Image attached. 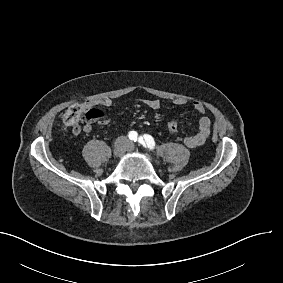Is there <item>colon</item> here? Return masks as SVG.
Returning <instances> with one entry per match:
<instances>
[{
    "label": "colon",
    "instance_id": "colon-1",
    "mask_svg": "<svg viewBox=\"0 0 283 283\" xmlns=\"http://www.w3.org/2000/svg\"><path fill=\"white\" fill-rule=\"evenodd\" d=\"M61 123L73 133H79L82 129V113L80 107L77 105H70L62 114ZM167 131L169 134H176L179 131V126L175 120L171 119L167 123Z\"/></svg>",
    "mask_w": 283,
    "mask_h": 283
}]
</instances>
